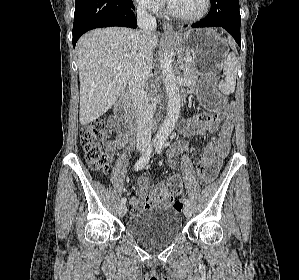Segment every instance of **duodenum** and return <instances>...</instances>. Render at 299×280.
<instances>
[{
  "instance_id": "1",
  "label": "duodenum",
  "mask_w": 299,
  "mask_h": 280,
  "mask_svg": "<svg viewBox=\"0 0 299 280\" xmlns=\"http://www.w3.org/2000/svg\"><path fill=\"white\" fill-rule=\"evenodd\" d=\"M116 114L118 118V128L122 133L133 131L132 109L129 93H123L116 104Z\"/></svg>"
}]
</instances>
